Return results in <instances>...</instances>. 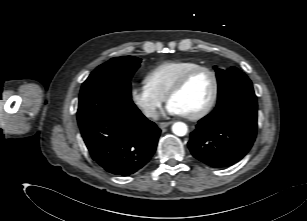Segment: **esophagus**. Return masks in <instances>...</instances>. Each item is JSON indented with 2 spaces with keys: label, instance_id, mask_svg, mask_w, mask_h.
<instances>
[{
  "label": "esophagus",
  "instance_id": "1",
  "mask_svg": "<svg viewBox=\"0 0 307 221\" xmlns=\"http://www.w3.org/2000/svg\"><path fill=\"white\" fill-rule=\"evenodd\" d=\"M173 122H160L158 125L161 129L168 127L171 125Z\"/></svg>",
  "mask_w": 307,
  "mask_h": 221
}]
</instances>
